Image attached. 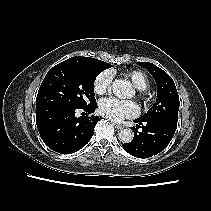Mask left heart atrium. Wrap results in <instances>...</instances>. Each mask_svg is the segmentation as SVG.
I'll use <instances>...</instances> for the list:
<instances>
[{
  "label": "left heart atrium",
  "instance_id": "39dd6f15",
  "mask_svg": "<svg viewBox=\"0 0 211 211\" xmlns=\"http://www.w3.org/2000/svg\"><path fill=\"white\" fill-rule=\"evenodd\" d=\"M99 112L112 121H121L135 117L139 113V108L133 101L104 98L99 102Z\"/></svg>",
  "mask_w": 211,
  "mask_h": 211
}]
</instances>
